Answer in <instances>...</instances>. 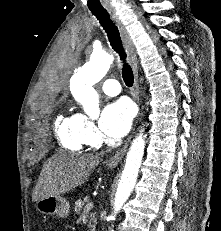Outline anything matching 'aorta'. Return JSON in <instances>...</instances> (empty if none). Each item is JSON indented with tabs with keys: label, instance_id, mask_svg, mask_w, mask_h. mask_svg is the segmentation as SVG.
I'll return each mask as SVG.
<instances>
[{
	"label": "aorta",
	"instance_id": "aorta-1",
	"mask_svg": "<svg viewBox=\"0 0 221 231\" xmlns=\"http://www.w3.org/2000/svg\"><path fill=\"white\" fill-rule=\"evenodd\" d=\"M113 61L112 54L104 50L93 51L89 62L80 68L70 80V90L74 99L90 116L99 114V98L93 85L106 75ZM143 132L144 129L133 139L127 153L124 170L116 191L113 213L110 216L111 220H115L136 184L146 144V135ZM109 231H114V227L109 228Z\"/></svg>",
	"mask_w": 221,
	"mask_h": 231
}]
</instances>
